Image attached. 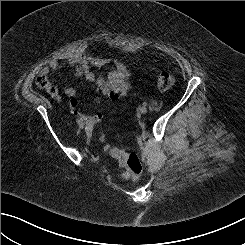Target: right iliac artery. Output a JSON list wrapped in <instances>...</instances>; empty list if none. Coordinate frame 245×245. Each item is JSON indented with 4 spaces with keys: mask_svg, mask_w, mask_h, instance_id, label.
I'll use <instances>...</instances> for the list:
<instances>
[{
    "mask_svg": "<svg viewBox=\"0 0 245 245\" xmlns=\"http://www.w3.org/2000/svg\"><path fill=\"white\" fill-rule=\"evenodd\" d=\"M77 123H78V125H80L82 122H81V120H77Z\"/></svg>",
    "mask_w": 245,
    "mask_h": 245,
    "instance_id": "82829eb1",
    "label": "right iliac artery"
}]
</instances>
